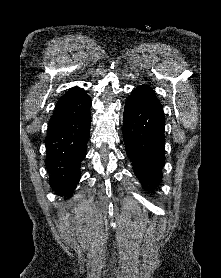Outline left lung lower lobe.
Segmentation results:
<instances>
[{"label":"left lung lower lobe","instance_id":"0a47b994","mask_svg":"<svg viewBox=\"0 0 221 278\" xmlns=\"http://www.w3.org/2000/svg\"><path fill=\"white\" fill-rule=\"evenodd\" d=\"M165 120L161 104H138L127 100L123 118V140L134 173L143 188L161 182L165 162Z\"/></svg>","mask_w":221,"mask_h":278}]
</instances>
